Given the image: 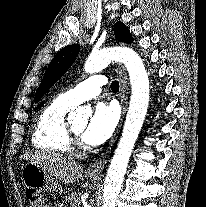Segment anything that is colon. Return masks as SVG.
Wrapping results in <instances>:
<instances>
[{
  "mask_svg": "<svg viewBox=\"0 0 206 207\" xmlns=\"http://www.w3.org/2000/svg\"><path fill=\"white\" fill-rule=\"evenodd\" d=\"M27 199L30 203V207H47V200L39 191H28Z\"/></svg>",
  "mask_w": 206,
  "mask_h": 207,
  "instance_id": "colon-1",
  "label": "colon"
}]
</instances>
